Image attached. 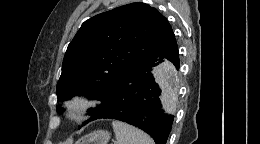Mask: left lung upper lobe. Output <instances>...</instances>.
Returning <instances> with one entry per match:
<instances>
[{
	"label": "left lung upper lobe",
	"instance_id": "left-lung-upper-lobe-1",
	"mask_svg": "<svg viewBox=\"0 0 260 144\" xmlns=\"http://www.w3.org/2000/svg\"><path fill=\"white\" fill-rule=\"evenodd\" d=\"M174 39L167 19L141 2L88 19L65 53L56 89L58 102L75 94L100 100V106L90 109V120L96 119L109 106L122 76Z\"/></svg>",
	"mask_w": 260,
	"mask_h": 144
}]
</instances>
